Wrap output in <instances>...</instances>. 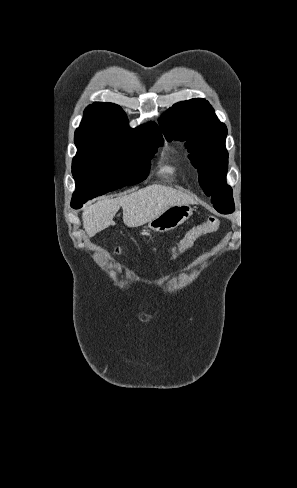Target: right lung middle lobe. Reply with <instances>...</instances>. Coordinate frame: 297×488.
I'll return each instance as SVG.
<instances>
[{
	"label": "right lung middle lobe",
	"mask_w": 297,
	"mask_h": 488,
	"mask_svg": "<svg viewBox=\"0 0 297 488\" xmlns=\"http://www.w3.org/2000/svg\"><path fill=\"white\" fill-rule=\"evenodd\" d=\"M163 143L162 137L142 131L131 137L77 146L78 151L72 161L76 190L71 207L79 209L94 197L145 180L150 159Z\"/></svg>",
	"instance_id": "1"
}]
</instances>
